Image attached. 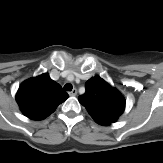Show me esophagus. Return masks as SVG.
Listing matches in <instances>:
<instances>
[{
  "instance_id": "obj_1",
  "label": "esophagus",
  "mask_w": 163,
  "mask_h": 163,
  "mask_svg": "<svg viewBox=\"0 0 163 163\" xmlns=\"http://www.w3.org/2000/svg\"><path fill=\"white\" fill-rule=\"evenodd\" d=\"M69 95L70 96H76L77 95V89H73V90H71L70 92H69Z\"/></svg>"
}]
</instances>
